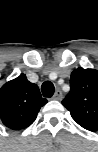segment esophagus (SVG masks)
<instances>
[{
  "instance_id": "esophagus-1",
  "label": "esophagus",
  "mask_w": 98,
  "mask_h": 152,
  "mask_svg": "<svg viewBox=\"0 0 98 152\" xmlns=\"http://www.w3.org/2000/svg\"><path fill=\"white\" fill-rule=\"evenodd\" d=\"M53 99H55V100H61L62 99V92L59 89L56 90V92L53 96Z\"/></svg>"
}]
</instances>
